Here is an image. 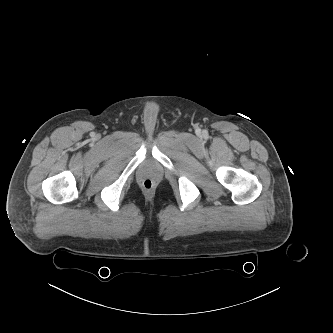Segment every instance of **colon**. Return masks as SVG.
<instances>
[{
    "instance_id": "1",
    "label": "colon",
    "mask_w": 333,
    "mask_h": 333,
    "mask_svg": "<svg viewBox=\"0 0 333 333\" xmlns=\"http://www.w3.org/2000/svg\"><path fill=\"white\" fill-rule=\"evenodd\" d=\"M153 186H154V183L151 179H144L142 181V187L147 191L151 190L153 188Z\"/></svg>"
}]
</instances>
